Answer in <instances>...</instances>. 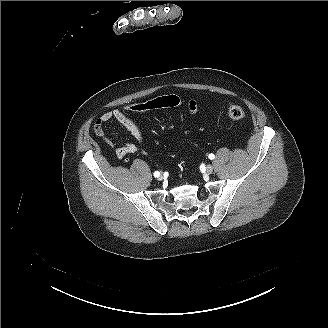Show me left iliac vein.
I'll return each instance as SVG.
<instances>
[{
  "instance_id": "obj_1",
  "label": "left iliac vein",
  "mask_w": 328,
  "mask_h": 328,
  "mask_svg": "<svg viewBox=\"0 0 328 328\" xmlns=\"http://www.w3.org/2000/svg\"><path fill=\"white\" fill-rule=\"evenodd\" d=\"M213 170H214V168H213L211 165H207V166H206V172H207L208 174H211V173L213 172Z\"/></svg>"
}]
</instances>
